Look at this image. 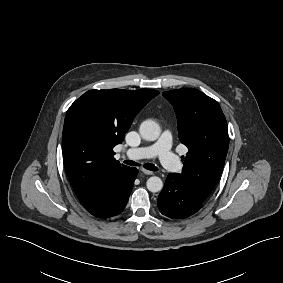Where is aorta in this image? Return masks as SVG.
Masks as SVG:
<instances>
[{
  "label": "aorta",
  "mask_w": 283,
  "mask_h": 283,
  "mask_svg": "<svg viewBox=\"0 0 283 283\" xmlns=\"http://www.w3.org/2000/svg\"><path fill=\"white\" fill-rule=\"evenodd\" d=\"M139 132L144 140L155 141L161 133V128L155 121L145 120L141 123ZM146 186L150 192L155 193L162 190L163 182L161 178L152 176L147 180Z\"/></svg>",
  "instance_id": "1"
}]
</instances>
